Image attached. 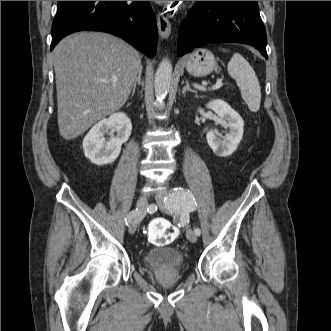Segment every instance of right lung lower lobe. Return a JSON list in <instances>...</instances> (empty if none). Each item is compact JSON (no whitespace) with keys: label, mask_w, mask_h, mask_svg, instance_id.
Instances as JSON below:
<instances>
[{"label":"right lung lower lobe","mask_w":331,"mask_h":331,"mask_svg":"<svg viewBox=\"0 0 331 331\" xmlns=\"http://www.w3.org/2000/svg\"><path fill=\"white\" fill-rule=\"evenodd\" d=\"M82 30L116 35L149 57L156 53L157 25L149 1H59L50 50Z\"/></svg>","instance_id":"obj_1"}]
</instances>
